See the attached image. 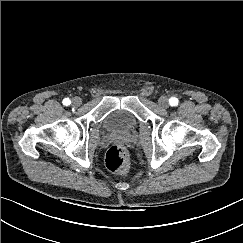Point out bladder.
Here are the masks:
<instances>
[{
	"instance_id": "31cf9c89",
	"label": "bladder",
	"mask_w": 243,
	"mask_h": 243,
	"mask_svg": "<svg viewBox=\"0 0 243 243\" xmlns=\"http://www.w3.org/2000/svg\"><path fill=\"white\" fill-rule=\"evenodd\" d=\"M137 121L133 115L123 110H115L104 119V127L113 133H128L135 129Z\"/></svg>"
}]
</instances>
